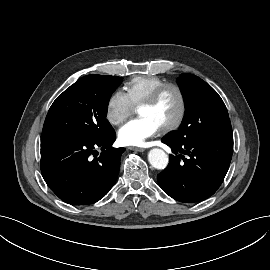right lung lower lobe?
I'll return each mask as SVG.
<instances>
[{"instance_id": "1", "label": "right lung lower lobe", "mask_w": 270, "mask_h": 270, "mask_svg": "<svg viewBox=\"0 0 270 270\" xmlns=\"http://www.w3.org/2000/svg\"><path fill=\"white\" fill-rule=\"evenodd\" d=\"M115 131L98 140L41 137V172L48 187L64 202L92 204L114 185L124 148H113ZM97 149L101 155L93 158ZM98 155V154H97Z\"/></svg>"}]
</instances>
